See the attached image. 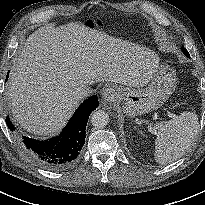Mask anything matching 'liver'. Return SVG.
Listing matches in <instances>:
<instances>
[{
  "label": "liver",
  "instance_id": "liver-1",
  "mask_svg": "<svg viewBox=\"0 0 205 205\" xmlns=\"http://www.w3.org/2000/svg\"><path fill=\"white\" fill-rule=\"evenodd\" d=\"M158 57L83 23L41 27L28 37L7 83L12 118L39 136L59 131L79 105L83 84L115 82L142 87Z\"/></svg>",
  "mask_w": 205,
  "mask_h": 205
}]
</instances>
